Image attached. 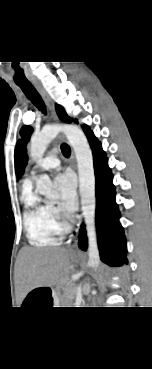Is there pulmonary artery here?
<instances>
[{"label": "pulmonary artery", "instance_id": "pulmonary-artery-1", "mask_svg": "<svg viewBox=\"0 0 152 369\" xmlns=\"http://www.w3.org/2000/svg\"><path fill=\"white\" fill-rule=\"evenodd\" d=\"M60 164L55 151L48 153L36 166L35 171L38 174L40 171H50L55 169Z\"/></svg>", "mask_w": 152, "mask_h": 369}]
</instances>
